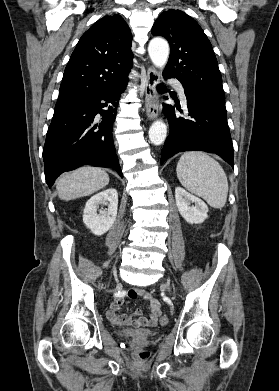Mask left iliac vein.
<instances>
[{"label":"left iliac vein","instance_id":"4c4485c4","mask_svg":"<svg viewBox=\"0 0 279 391\" xmlns=\"http://www.w3.org/2000/svg\"><path fill=\"white\" fill-rule=\"evenodd\" d=\"M168 291H170V286L166 283L163 285Z\"/></svg>","mask_w":279,"mask_h":391}]
</instances>
